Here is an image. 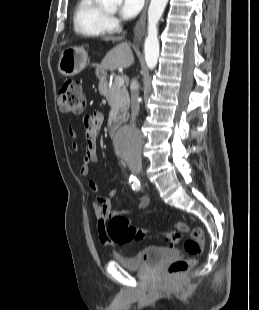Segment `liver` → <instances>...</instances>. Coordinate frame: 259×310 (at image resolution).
<instances>
[{"label": "liver", "instance_id": "liver-1", "mask_svg": "<svg viewBox=\"0 0 259 310\" xmlns=\"http://www.w3.org/2000/svg\"><path fill=\"white\" fill-rule=\"evenodd\" d=\"M118 37H107L106 41L119 40ZM134 62V57L130 46L122 42L112 48L102 60L101 66L105 69L115 70L119 68H128Z\"/></svg>", "mask_w": 259, "mask_h": 310}]
</instances>
